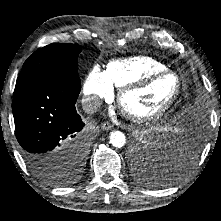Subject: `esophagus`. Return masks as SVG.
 Returning <instances> with one entry per match:
<instances>
[{
    "mask_svg": "<svg viewBox=\"0 0 221 221\" xmlns=\"http://www.w3.org/2000/svg\"><path fill=\"white\" fill-rule=\"evenodd\" d=\"M101 128L105 131H108L113 128V125L108 122H104V123H102Z\"/></svg>",
    "mask_w": 221,
    "mask_h": 221,
    "instance_id": "1",
    "label": "esophagus"
}]
</instances>
